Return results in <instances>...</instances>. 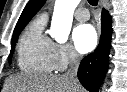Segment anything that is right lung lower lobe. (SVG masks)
<instances>
[{
    "instance_id": "obj_1",
    "label": "right lung lower lobe",
    "mask_w": 127,
    "mask_h": 92,
    "mask_svg": "<svg viewBox=\"0 0 127 92\" xmlns=\"http://www.w3.org/2000/svg\"><path fill=\"white\" fill-rule=\"evenodd\" d=\"M102 32L95 52L87 55L80 63L79 80L89 92H98L108 69L112 34V21L109 14L102 11Z\"/></svg>"
}]
</instances>
